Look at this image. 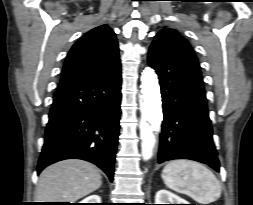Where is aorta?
<instances>
[{
    "instance_id": "aorta-1",
    "label": "aorta",
    "mask_w": 253,
    "mask_h": 205,
    "mask_svg": "<svg viewBox=\"0 0 253 205\" xmlns=\"http://www.w3.org/2000/svg\"><path fill=\"white\" fill-rule=\"evenodd\" d=\"M142 112L140 122L141 154L144 160L152 157L155 137L153 132L160 129L162 106L160 87L155 71L146 67L141 75Z\"/></svg>"
}]
</instances>
